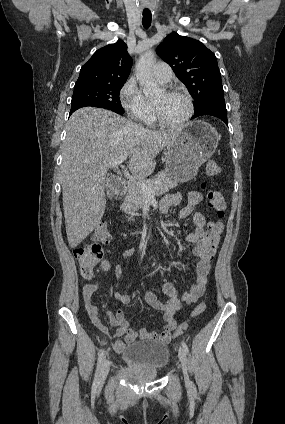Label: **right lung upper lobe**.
I'll list each match as a JSON object with an SVG mask.
<instances>
[{"mask_svg": "<svg viewBox=\"0 0 285 424\" xmlns=\"http://www.w3.org/2000/svg\"><path fill=\"white\" fill-rule=\"evenodd\" d=\"M132 58L127 45L118 40L97 50L80 70L75 85L125 82L130 74Z\"/></svg>", "mask_w": 285, "mask_h": 424, "instance_id": "obj_1", "label": "right lung upper lobe"}]
</instances>
